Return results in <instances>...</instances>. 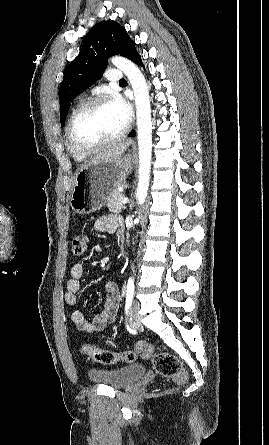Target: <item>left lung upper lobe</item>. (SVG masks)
I'll list each match as a JSON object with an SVG mask.
<instances>
[{"label": "left lung upper lobe", "instance_id": "5c2ea615", "mask_svg": "<svg viewBox=\"0 0 269 445\" xmlns=\"http://www.w3.org/2000/svg\"><path fill=\"white\" fill-rule=\"evenodd\" d=\"M116 54L133 62L139 57L135 42L129 37L126 29L112 20L92 27L84 38L81 52L64 70L59 88L61 126L65 123L74 98L95 82L106 68L108 57Z\"/></svg>", "mask_w": 269, "mask_h": 445}]
</instances>
